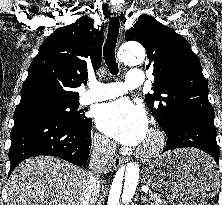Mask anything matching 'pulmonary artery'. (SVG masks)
<instances>
[{
	"instance_id": "1",
	"label": "pulmonary artery",
	"mask_w": 222,
	"mask_h": 205,
	"mask_svg": "<svg viewBox=\"0 0 222 205\" xmlns=\"http://www.w3.org/2000/svg\"><path fill=\"white\" fill-rule=\"evenodd\" d=\"M143 72L140 69H130L124 83H100L94 81L90 89L83 95L84 104L100 102L125 94L127 91L141 86Z\"/></svg>"
}]
</instances>
